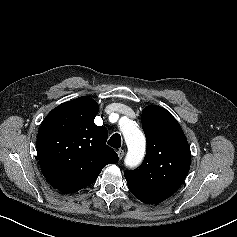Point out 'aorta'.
Masks as SVG:
<instances>
[{"label": "aorta", "mask_w": 237, "mask_h": 237, "mask_svg": "<svg viewBox=\"0 0 237 237\" xmlns=\"http://www.w3.org/2000/svg\"><path fill=\"white\" fill-rule=\"evenodd\" d=\"M121 131L128 147L125 163L136 166L141 162L145 154V136L136 122L126 119L121 123Z\"/></svg>", "instance_id": "aorta-1"}]
</instances>
